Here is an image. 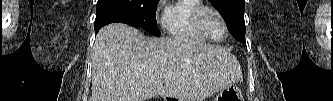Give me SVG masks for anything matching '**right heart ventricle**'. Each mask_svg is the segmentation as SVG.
I'll list each match as a JSON object with an SVG mask.
<instances>
[{
    "instance_id": "right-heart-ventricle-1",
    "label": "right heart ventricle",
    "mask_w": 333,
    "mask_h": 101,
    "mask_svg": "<svg viewBox=\"0 0 333 101\" xmlns=\"http://www.w3.org/2000/svg\"><path fill=\"white\" fill-rule=\"evenodd\" d=\"M201 6L199 0H178L170 5L164 23L168 33L176 39L207 41V38L197 31L193 22L194 12Z\"/></svg>"
}]
</instances>
